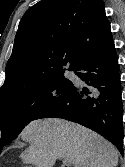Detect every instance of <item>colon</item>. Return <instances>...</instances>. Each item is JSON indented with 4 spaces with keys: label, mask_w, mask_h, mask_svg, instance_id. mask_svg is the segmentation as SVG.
Listing matches in <instances>:
<instances>
[{
    "label": "colon",
    "mask_w": 125,
    "mask_h": 167,
    "mask_svg": "<svg viewBox=\"0 0 125 167\" xmlns=\"http://www.w3.org/2000/svg\"><path fill=\"white\" fill-rule=\"evenodd\" d=\"M23 167H30L29 165H23Z\"/></svg>",
    "instance_id": "obj_1"
}]
</instances>
